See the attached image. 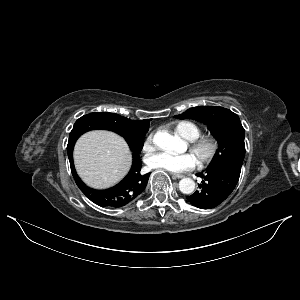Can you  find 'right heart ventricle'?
Wrapping results in <instances>:
<instances>
[{"mask_svg":"<svg viewBox=\"0 0 300 300\" xmlns=\"http://www.w3.org/2000/svg\"><path fill=\"white\" fill-rule=\"evenodd\" d=\"M175 132L187 140H194L201 135V129L193 122L181 121L174 126Z\"/></svg>","mask_w":300,"mask_h":300,"instance_id":"e07e8e85","label":"right heart ventricle"}]
</instances>
